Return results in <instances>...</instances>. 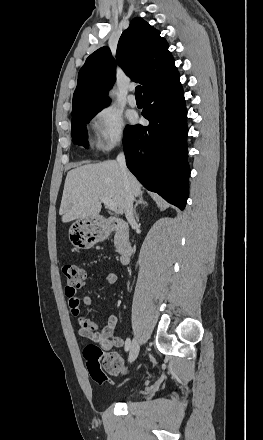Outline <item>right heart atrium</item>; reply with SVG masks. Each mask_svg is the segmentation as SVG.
I'll return each mask as SVG.
<instances>
[{"mask_svg": "<svg viewBox=\"0 0 263 440\" xmlns=\"http://www.w3.org/2000/svg\"><path fill=\"white\" fill-rule=\"evenodd\" d=\"M95 147L109 152L125 140L124 121L117 110L106 106L98 110L92 119Z\"/></svg>", "mask_w": 263, "mask_h": 440, "instance_id": "obj_1", "label": "right heart atrium"}]
</instances>
